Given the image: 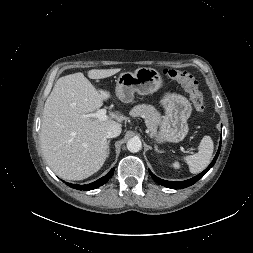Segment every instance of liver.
Masks as SVG:
<instances>
[{"instance_id":"6515ba94","label":"liver","mask_w":253,"mask_h":253,"mask_svg":"<svg viewBox=\"0 0 253 253\" xmlns=\"http://www.w3.org/2000/svg\"><path fill=\"white\" fill-rule=\"evenodd\" d=\"M121 69H92L90 79H103ZM111 98L78 72L59 78L48 96L42 116L40 144L50 168L61 178L82 180L96 173L107 158L106 130L121 126L124 117L112 112L106 120L84 115L98 110Z\"/></svg>"}]
</instances>
